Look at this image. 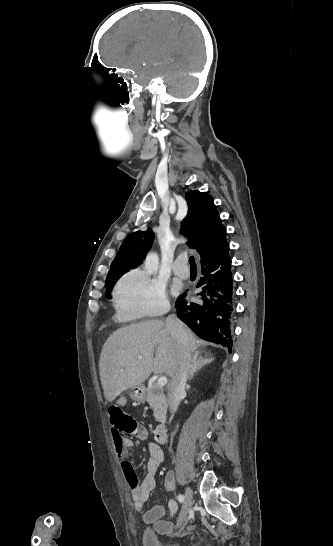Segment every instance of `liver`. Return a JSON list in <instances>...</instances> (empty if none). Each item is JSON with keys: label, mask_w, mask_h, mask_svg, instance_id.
<instances>
[{"label": "liver", "mask_w": 333, "mask_h": 546, "mask_svg": "<svg viewBox=\"0 0 333 546\" xmlns=\"http://www.w3.org/2000/svg\"><path fill=\"white\" fill-rule=\"evenodd\" d=\"M186 331L193 352L199 342ZM176 367L177 343L163 321H143L118 329L108 337L100 355L104 396L111 402L128 388L141 385L152 372L172 377Z\"/></svg>", "instance_id": "obj_1"}]
</instances>
